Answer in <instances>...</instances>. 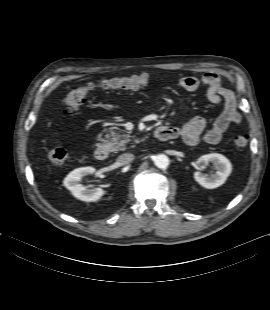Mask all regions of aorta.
I'll return each mask as SVG.
<instances>
[{
	"label": "aorta",
	"mask_w": 270,
	"mask_h": 310,
	"mask_svg": "<svg viewBox=\"0 0 270 310\" xmlns=\"http://www.w3.org/2000/svg\"><path fill=\"white\" fill-rule=\"evenodd\" d=\"M155 165L160 169H165L169 165V158L165 154H159L155 157Z\"/></svg>",
	"instance_id": "obj_1"
}]
</instances>
